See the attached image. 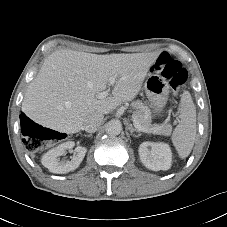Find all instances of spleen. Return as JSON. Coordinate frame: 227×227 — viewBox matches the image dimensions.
<instances>
[{
    "label": "spleen",
    "instance_id": "obj_1",
    "mask_svg": "<svg viewBox=\"0 0 227 227\" xmlns=\"http://www.w3.org/2000/svg\"><path fill=\"white\" fill-rule=\"evenodd\" d=\"M180 122L173 131L171 140L181 158H186L194 146L196 138V107L188 91L180 100Z\"/></svg>",
    "mask_w": 227,
    "mask_h": 227
}]
</instances>
